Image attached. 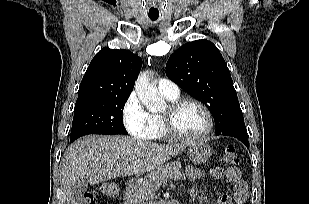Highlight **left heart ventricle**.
<instances>
[{"instance_id": "1", "label": "left heart ventricle", "mask_w": 309, "mask_h": 204, "mask_svg": "<svg viewBox=\"0 0 309 204\" xmlns=\"http://www.w3.org/2000/svg\"><path fill=\"white\" fill-rule=\"evenodd\" d=\"M176 129L183 134L194 136L207 127V119L200 107L188 103L182 106L174 116Z\"/></svg>"}]
</instances>
